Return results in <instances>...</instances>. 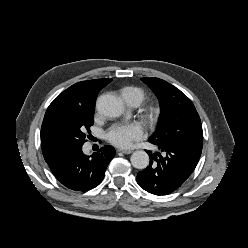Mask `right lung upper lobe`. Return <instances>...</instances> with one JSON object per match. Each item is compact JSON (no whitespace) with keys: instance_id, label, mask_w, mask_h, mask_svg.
Listing matches in <instances>:
<instances>
[{"instance_id":"cb5924a9","label":"right lung upper lobe","mask_w":248,"mask_h":248,"mask_svg":"<svg viewBox=\"0 0 248 248\" xmlns=\"http://www.w3.org/2000/svg\"><path fill=\"white\" fill-rule=\"evenodd\" d=\"M112 79H94L81 81L60 93L49 105L41 127V148L44 159L49 162L56 157L64 147L59 145L48 130L51 117L59 110L68 107H93L99 91L110 83Z\"/></svg>"}]
</instances>
